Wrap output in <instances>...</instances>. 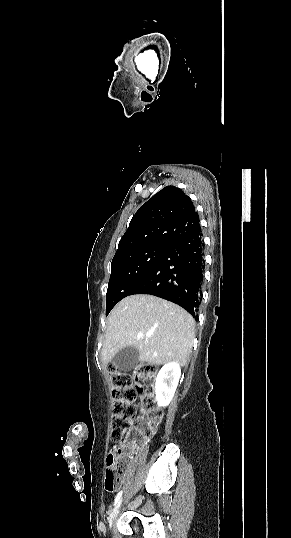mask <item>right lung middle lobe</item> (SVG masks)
<instances>
[{
    "instance_id": "1",
    "label": "right lung middle lobe",
    "mask_w": 291,
    "mask_h": 538,
    "mask_svg": "<svg viewBox=\"0 0 291 538\" xmlns=\"http://www.w3.org/2000/svg\"><path fill=\"white\" fill-rule=\"evenodd\" d=\"M169 248L165 245H148L113 258L106 294V315L121 299L131 294Z\"/></svg>"
}]
</instances>
